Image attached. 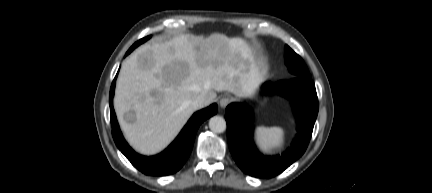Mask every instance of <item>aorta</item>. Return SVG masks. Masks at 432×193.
Segmentation results:
<instances>
[{"mask_svg":"<svg viewBox=\"0 0 432 193\" xmlns=\"http://www.w3.org/2000/svg\"><path fill=\"white\" fill-rule=\"evenodd\" d=\"M226 127V121L221 116H213L209 120V128L214 133H223L226 130Z\"/></svg>","mask_w":432,"mask_h":193,"instance_id":"aorta-1","label":"aorta"}]
</instances>
